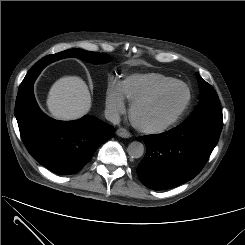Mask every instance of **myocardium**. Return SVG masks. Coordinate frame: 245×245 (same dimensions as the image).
<instances>
[{
  "label": "myocardium",
  "mask_w": 245,
  "mask_h": 245,
  "mask_svg": "<svg viewBox=\"0 0 245 245\" xmlns=\"http://www.w3.org/2000/svg\"><path fill=\"white\" fill-rule=\"evenodd\" d=\"M176 85L183 86L187 91L186 100H185L183 106L177 112V114L172 119H170L169 121H167L161 125L149 126V125H145V124L141 123L139 121L138 115H137L140 107H142L143 105H145L149 102L156 100L161 95H163L166 91H168L170 88H172ZM191 101H192V93H191L190 87L182 81L174 80V81H172V82H170V83H168L162 87H159L158 89L136 99L131 104V107H130V118H131V121H132L134 127L137 128L139 131L147 133V134H160V133L166 132L169 129H171L172 127H174L183 118V116L185 115V113L187 112V110L190 107Z\"/></svg>",
  "instance_id": "f54148a6"
}]
</instances>
